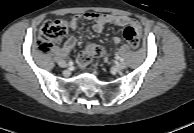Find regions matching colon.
Masks as SVG:
<instances>
[{
	"label": "colon",
	"mask_w": 194,
	"mask_h": 133,
	"mask_svg": "<svg viewBox=\"0 0 194 133\" xmlns=\"http://www.w3.org/2000/svg\"><path fill=\"white\" fill-rule=\"evenodd\" d=\"M68 22L62 19L47 20L45 21L39 31V37L37 40V48L41 52H47L50 50L54 42L61 39L66 35L68 31ZM124 37L131 46L132 49L136 50L140 46V40L131 27H127L124 30ZM103 54V49L98 45H92L86 51L81 52L76 59L77 65L80 68H84L92 57H99Z\"/></svg>",
	"instance_id": "5ec220e1"
}]
</instances>
